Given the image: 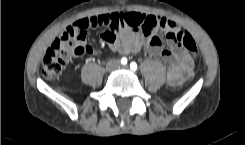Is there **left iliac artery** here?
I'll list each match as a JSON object with an SVG mask.
<instances>
[{
	"label": "left iliac artery",
	"mask_w": 245,
	"mask_h": 145,
	"mask_svg": "<svg viewBox=\"0 0 245 145\" xmlns=\"http://www.w3.org/2000/svg\"><path fill=\"white\" fill-rule=\"evenodd\" d=\"M130 68H131L133 71H135V70L137 69V64H136L135 62H132V63L130 64Z\"/></svg>",
	"instance_id": "44dca946"
}]
</instances>
